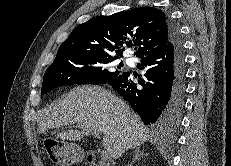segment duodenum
<instances>
[{
    "label": "duodenum",
    "instance_id": "duodenum-1",
    "mask_svg": "<svg viewBox=\"0 0 231 166\" xmlns=\"http://www.w3.org/2000/svg\"><path fill=\"white\" fill-rule=\"evenodd\" d=\"M86 162L87 164H89L90 166H93L96 164L97 162V157L94 153H89L86 157Z\"/></svg>",
    "mask_w": 231,
    "mask_h": 166
}]
</instances>
